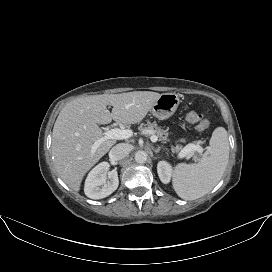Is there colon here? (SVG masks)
<instances>
[{"label": "colon", "mask_w": 272, "mask_h": 272, "mask_svg": "<svg viewBox=\"0 0 272 272\" xmlns=\"http://www.w3.org/2000/svg\"><path fill=\"white\" fill-rule=\"evenodd\" d=\"M187 120L196 125V128L199 131H205L209 127L208 120L204 117L203 114L195 111H191L187 114Z\"/></svg>", "instance_id": "5ec220e1"}]
</instances>
